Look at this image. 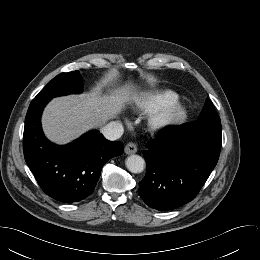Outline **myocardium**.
I'll return each mask as SVG.
<instances>
[{
  "label": "myocardium",
  "instance_id": "obj_1",
  "mask_svg": "<svg viewBox=\"0 0 260 260\" xmlns=\"http://www.w3.org/2000/svg\"><path fill=\"white\" fill-rule=\"evenodd\" d=\"M184 108L179 99H175L152 111L148 125L153 131L164 130L176 124L182 117Z\"/></svg>",
  "mask_w": 260,
  "mask_h": 260
}]
</instances>
